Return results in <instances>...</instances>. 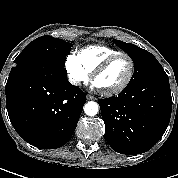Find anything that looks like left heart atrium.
Wrapping results in <instances>:
<instances>
[{
  "instance_id": "obj_1",
  "label": "left heart atrium",
  "mask_w": 178,
  "mask_h": 178,
  "mask_svg": "<svg viewBox=\"0 0 178 178\" xmlns=\"http://www.w3.org/2000/svg\"><path fill=\"white\" fill-rule=\"evenodd\" d=\"M94 87H95V88H99L95 83H94Z\"/></svg>"
}]
</instances>
